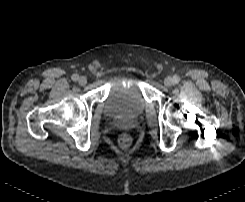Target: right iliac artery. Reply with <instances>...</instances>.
<instances>
[{
	"mask_svg": "<svg viewBox=\"0 0 245 202\" xmlns=\"http://www.w3.org/2000/svg\"><path fill=\"white\" fill-rule=\"evenodd\" d=\"M79 79V75L78 74H73L72 75V80L73 81H77Z\"/></svg>",
	"mask_w": 245,
	"mask_h": 202,
	"instance_id": "82829eb1",
	"label": "right iliac artery"
}]
</instances>
